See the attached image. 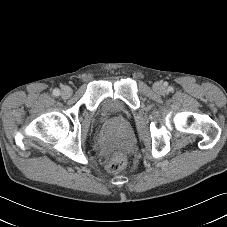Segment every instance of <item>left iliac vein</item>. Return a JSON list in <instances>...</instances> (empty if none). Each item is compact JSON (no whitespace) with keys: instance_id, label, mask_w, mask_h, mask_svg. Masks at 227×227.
Returning <instances> with one entry per match:
<instances>
[{"instance_id":"obj_1","label":"left iliac vein","mask_w":227,"mask_h":227,"mask_svg":"<svg viewBox=\"0 0 227 227\" xmlns=\"http://www.w3.org/2000/svg\"><path fill=\"white\" fill-rule=\"evenodd\" d=\"M154 90H155L156 92H158V93L164 92V88H163V86H162L160 83H156V84L154 85Z\"/></svg>"}]
</instances>
